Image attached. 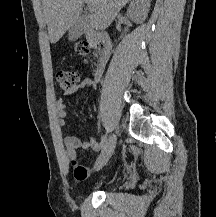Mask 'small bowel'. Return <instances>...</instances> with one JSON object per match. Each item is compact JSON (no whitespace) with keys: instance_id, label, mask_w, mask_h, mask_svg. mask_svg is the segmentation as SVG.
<instances>
[{"instance_id":"c3829d8e","label":"small bowel","mask_w":216,"mask_h":217,"mask_svg":"<svg viewBox=\"0 0 216 217\" xmlns=\"http://www.w3.org/2000/svg\"><path fill=\"white\" fill-rule=\"evenodd\" d=\"M102 72L103 71L100 70L97 73H94L92 77L84 78L78 86L72 90L65 91L63 97L56 101V110L59 116L60 125L64 126L67 122V106L64 98L76 94L81 89H95ZM64 146L68 158L71 160L73 165L80 170V174L78 176L75 175L76 179L80 181L86 180L89 176V170L78 164V151L80 149L91 148L92 150L98 152L101 149L100 144L93 137H90L89 139H82L77 135H68L64 138Z\"/></svg>"}]
</instances>
